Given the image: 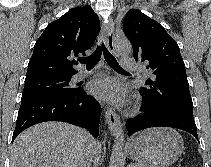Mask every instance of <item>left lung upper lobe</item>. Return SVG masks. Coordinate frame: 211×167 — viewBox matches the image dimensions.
I'll use <instances>...</instances> for the list:
<instances>
[{"mask_svg":"<svg viewBox=\"0 0 211 167\" xmlns=\"http://www.w3.org/2000/svg\"><path fill=\"white\" fill-rule=\"evenodd\" d=\"M123 30L133 46L136 61L143 62L152 78L141 92L151 109L176 108L192 113L185 64L176 41L155 20L140 10H129Z\"/></svg>","mask_w":211,"mask_h":167,"instance_id":"obj_1","label":"left lung upper lobe"}]
</instances>
